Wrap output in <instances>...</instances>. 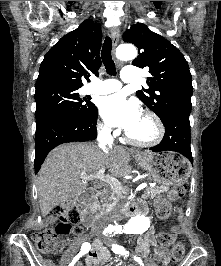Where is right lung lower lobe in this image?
Wrapping results in <instances>:
<instances>
[{
    "instance_id": "obj_1",
    "label": "right lung lower lobe",
    "mask_w": 221,
    "mask_h": 266,
    "mask_svg": "<svg viewBox=\"0 0 221 266\" xmlns=\"http://www.w3.org/2000/svg\"><path fill=\"white\" fill-rule=\"evenodd\" d=\"M96 113L87 119L76 117H58L48 121L35 133V173H37L47 154L56 146L75 141H89L96 139Z\"/></svg>"
}]
</instances>
